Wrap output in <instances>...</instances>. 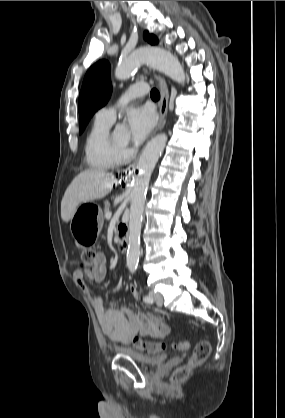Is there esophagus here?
<instances>
[{
	"instance_id": "obj_1",
	"label": "esophagus",
	"mask_w": 285,
	"mask_h": 418,
	"mask_svg": "<svg viewBox=\"0 0 285 418\" xmlns=\"http://www.w3.org/2000/svg\"><path fill=\"white\" fill-rule=\"evenodd\" d=\"M155 79L158 81L159 85V92H160V101H159V122L155 129V132L163 128L166 116H167V110H168V102H169V91L167 84L164 79H162L159 75L154 74ZM137 161L132 163L127 167L126 170L128 171H134L136 169Z\"/></svg>"
}]
</instances>
